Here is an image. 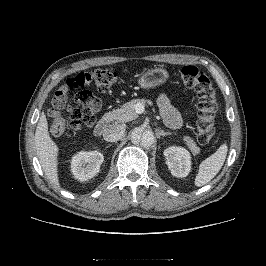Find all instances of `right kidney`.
I'll use <instances>...</instances> for the list:
<instances>
[{"label":"right kidney","instance_id":"ca27d5eb","mask_svg":"<svg viewBox=\"0 0 266 266\" xmlns=\"http://www.w3.org/2000/svg\"><path fill=\"white\" fill-rule=\"evenodd\" d=\"M103 161V154L98 151H81L72 157L71 171L76 179L86 181L99 172Z\"/></svg>","mask_w":266,"mask_h":266}]
</instances>
